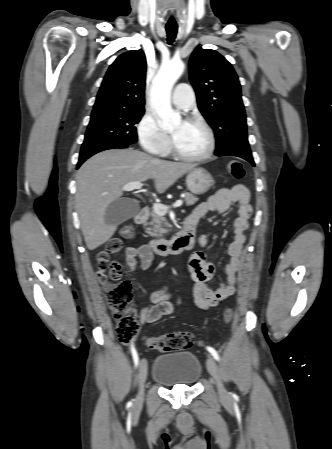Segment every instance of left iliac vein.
I'll return each mask as SVG.
<instances>
[{
  "instance_id": "left-iliac-vein-1",
  "label": "left iliac vein",
  "mask_w": 332,
  "mask_h": 449,
  "mask_svg": "<svg viewBox=\"0 0 332 449\" xmlns=\"http://www.w3.org/2000/svg\"><path fill=\"white\" fill-rule=\"evenodd\" d=\"M206 364H207L208 372L211 374V376L214 379V383H215V385L217 387L219 395L222 398L227 399L228 398V392H227V390L224 387V384L222 382L221 370H220L218 364L216 363L214 358H212L210 356L208 357Z\"/></svg>"
}]
</instances>
